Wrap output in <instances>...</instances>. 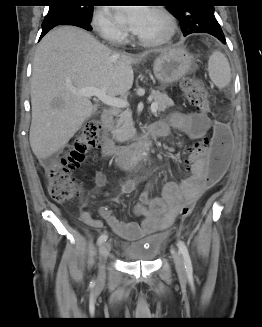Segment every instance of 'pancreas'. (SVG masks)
<instances>
[{
  "instance_id": "1",
  "label": "pancreas",
  "mask_w": 262,
  "mask_h": 327,
  "mask_svg": "<svg viewBox=\"0 0 262 327\" xmlns=\"http://www.w3.org/2000/svg\"><path fill=\"white\" fill-rule=\"evenodd\" d=\"M151 96L157 103V110L159 112L165 111L168 107L174 105L173 100L170 99L166 93L153 91ZM112 134L114 139L118 142H125L133 139L135 136V128L132 120V113L130 111H123L118 115Z\"/></svg>"
}]
</instances>
